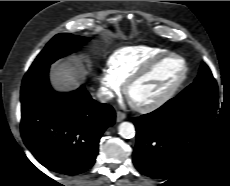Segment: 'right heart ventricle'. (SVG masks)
Here are the masks:
<instances>
[{"label":"right heart ventricle","instance_id":"right-heart-ventricle-1","mask_svg":"<svg viewBox=\"0 0 230 186\" xmlns=\"http://www.w3.org/2000/svg\"><path fill=\"white\" fill-rule=\"evenodd\" d=\"M166 52V49L146 45L123 47L110 56L108 70L118 81L125 83L150 60Z\"/></svg>","mask_w":230,"mask_h":186}]
</instances>
